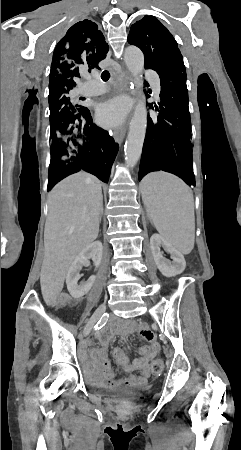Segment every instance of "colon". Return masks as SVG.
<instances>
[{"label":"colon","instance_id":"1","mask_svg":"<svg viewBox=\"0 0 241 450\" xmlns=\"http://www.w3.org/2000/svg\"><path fill=\"white\" fill-rule=\"evenodd\" d=\"M152 370L155 375H159L163 370V361L160 359L156 360L153 363Z\"/></svg>","mask_w":241,"mask_h":450}]
</instances>
